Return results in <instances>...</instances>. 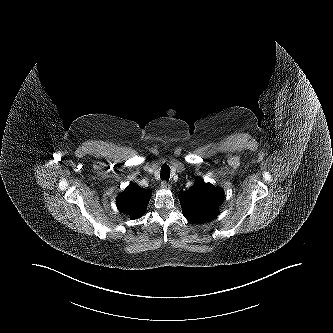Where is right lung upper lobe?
Here are the masks:
<instances>
[{"label": "right lung upper lobe", "instance_id": "obj_1", "mask_svg": "<svg viewBox=\"0 0 333 333\" xmlns=\"http://www.w3.org/2000/svg\"><path fill=\"white\" fill-rule=\"evenodd\" d=\"M150 197V190L129 185L124 192L118 195L116 203L120 211L132 219H137L144 214Z\"/></svg>", "mask_w": 333, "mask_h": 333}]
</instances>
